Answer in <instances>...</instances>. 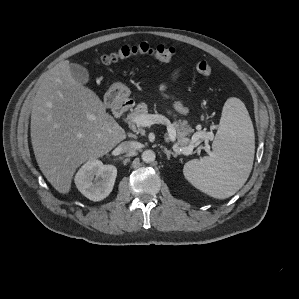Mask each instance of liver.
Wrapping results in <instances>:
<instances>
[{
  "mask_svg": "<svg viewBox=\"0 0 299 299\" xmlns=\"http://www.w3.org/2000/svg\"><path fill=\"white\" fill-rule=\"evenodd\" d=\"M125 138L98 95L73 78L68 60L46 73L32 106L31 142L41 172L59 193H69L82 163Z\"/></svg>",
  "mask_w": 299,
  "mask_h": 299,
  "instance_id": "1",
  "label": "liver"
}]
</instances>
